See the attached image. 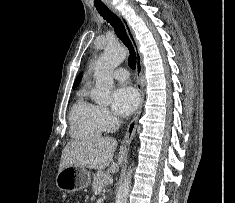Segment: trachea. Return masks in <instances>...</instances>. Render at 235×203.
Here are the masks:
<instances>
[{"label":"trachea","mask_w":235,"mask_h":203,"mask_svg":"<svg viewBox=\"0 0 235 203\" xmlns=\"http://www.w3.org/2000/svg\"><path fill=\"white\" fill-rule=\"evenodd\" d=\"M95 7L97 11L99 12V14L108 23L111 24L117 36L124 43V45L129 49L130 55L128 58V65L131 69H135L136 68V53H135L133 44L127 35L126 29L122 21L111 10H109L104 4H95Z\"/></svg>","instance_id":"obj_1"}]
</instances>
